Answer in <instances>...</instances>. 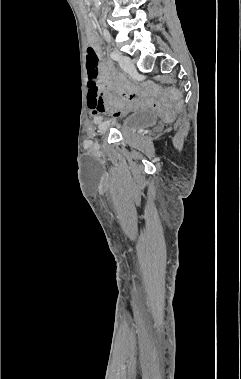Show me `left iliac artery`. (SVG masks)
Listing matches in <instances>:
<instances>
[{"mask_svg":"<svg viewBox=\"0 0 241 379\" xmlns=\"http://www.w3.org/2000/svg\"><path fill=\"white\" fill-rule=\"evenodd\" d=\"M110 57L114 60H119V53L117 52H111Z\"/></svg>","mask_w":241,"mask_h":379,"instance_id":"1","label":"left iliac artery"}]
</instances>
